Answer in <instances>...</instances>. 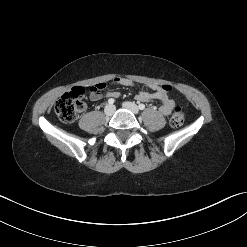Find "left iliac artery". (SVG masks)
<instances>
[{
    "label": "left iliac artery",
    "mask_w": 247,
    "mask_h": 247,
    "mask_svg": "<svg viewBox=\"0 0 247 247\" xmlns=\"http://www.w3.org/2000/svg\"><path fill=\"white\" fill-rule=\"evenodd\" d=\"M138 108H139L140 110H144V109H145V105L141 103V104H139Z\"/></svg>",
    "instance_id": "44dca946"
}]
</instances>
